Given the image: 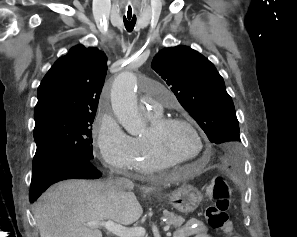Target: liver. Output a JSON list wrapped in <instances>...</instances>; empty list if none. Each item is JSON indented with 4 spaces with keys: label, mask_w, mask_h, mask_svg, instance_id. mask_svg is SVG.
I'll return each mask as SVG.
<instances>
[{
    "label": "liver",
    "mask_w": 297,
    "mask_h": 237,
    "mask_svg": "<svg viewBox=\"0 0 297 237\" xmlns=\"http://www.w3.org/2000/svg\"><path fill=\"white\" fill-rule=\"evenodd\" d=\"M142 214L136 196L118 190L112 182L63 181L49 188L34 205L40 237H102L99 229L86 223L112 220L130 225Z\"/></svg>",
    "instance_id": "6515ba94"
}]
</instances>
